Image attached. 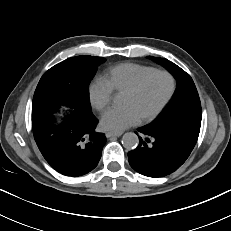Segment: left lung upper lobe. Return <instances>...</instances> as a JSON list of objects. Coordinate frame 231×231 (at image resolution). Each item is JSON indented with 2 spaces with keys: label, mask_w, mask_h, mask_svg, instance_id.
Wrapping results in <instances>:
<instances>
[{
  "label": "left lung upper lobe",
  "mask_w": 231,
  "mask_h": 231,
  "mask_svg": "<svg viewBox=\"0 0 231 231\" xmlns=\"http://www.w3.org/2000/svg\"><path fill=\"white\" fill-rule=\"evenodd\" d=\"M165 67L177 81L176 93L164 114L152 124L155 126L176 125L180 123L201 125L202 111L195 84L183 69L165 58L148 56Z\"/></svg>",
  "instance_id": "1"
}]
</instances>
